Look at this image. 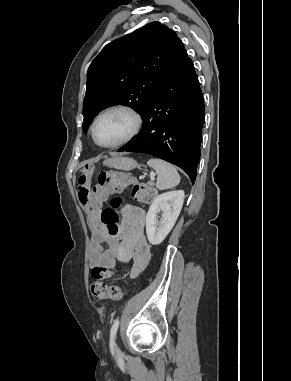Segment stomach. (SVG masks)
Instances as JSON below:
<instances>
[{"mask_svg": "<svg viewBox=\"0 0 291 381\" xmlns=\"http://www.w3.org/2000/svg\"><path fill=\"white\" fill-rule=\"evenodd\" d=\"M104 164L119 170L129 171L137 167V162L129 157H114L104 161Z\"/></svg>", "mask_w": 291, "mask_h": 381, "instance_id": "0dacf381", "label": "stomach"}]
</instances>
